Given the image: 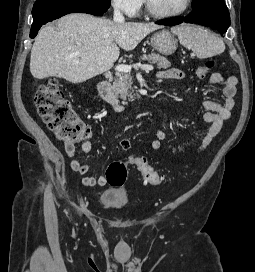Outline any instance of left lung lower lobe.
Segmentation results:
<instances>
[{
  "label": "left lung lower lobe",
  "instance_id": "0a47b994",
  "mask_svg": "<svg viewBox=\"0 0 255 272\" xmlns=\"http://www.w3.org/2000/svg\"><path fill=\"white\" fill-rule=\"evenodd\" d=\"M182 22L216 28L220 34H223L230 25V16L223 0H206L194 7L193 11L186 17L162 20L156 23L173 26Z\"/></svg>",
  "mask_w": 255,
  "mask_h": 272
}]
</instances>
